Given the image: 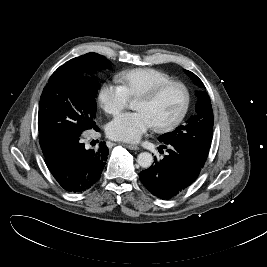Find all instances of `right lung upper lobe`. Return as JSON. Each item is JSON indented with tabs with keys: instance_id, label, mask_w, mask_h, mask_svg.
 <instances>
[{
	"instance_id": "cb5924a9",
	"label": "right lung upper lobe",
	"mask_w": 267,
	"mask_h": 267,
	"mask_svg": "<svg viewBox=\"0 0 267 267\" xmlns=\"http://www.w3.org/2000/svg\"><path fill=\"white\" fill-rule=\"evenodd\" d=\"M55 147H56V146H55ZM55 147H52L51 149H48V150H46L45 152H43V153H44V156H45V157L48 156V155L53 151V149H54Z\"/></svg>"
}]
</instances>
